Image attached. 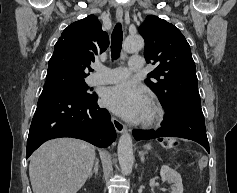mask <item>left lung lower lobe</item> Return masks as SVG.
Wrapping results in <instances>:
<instances>
[{
    "label": "left lung lower lobe",
    "mask_w": 237,
    "mask_h": 193,
    "mask_svg": "<svg viewBox=\"0 0 237 193\" xmlns=\"http://www.w3.org/2000/svg\"><path fill=\"white\" fill-rule=\"evenodd\" d=\"M136 140H147L161 137H180L201 144L209 152L204 115L201 108H185L177 114L168 113L162 126L157 130H133Z\"/></svg>",
    "instance_id": "obj_1"
}]
</instances>
